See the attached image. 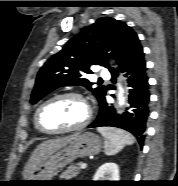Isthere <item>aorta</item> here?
I'll return each mask as SVG.
<instances>
[{"mask_svg":"<svg viewBox=\"0 0 178 186\" xmlns=\"http://www.w3.org/2000/svg\"><path fill=\"white\" fill-rule=\"evenodd\" d=\"M123 93H124V91H123L122 87L119 86V94H118L119 105H123L125 102V98L123 96Z\"/></svg>","mask_w":178,"mask_h":186,"instance_id":"obj_1","label":"aorta"}]
</instances>
